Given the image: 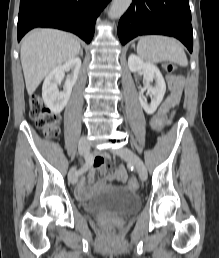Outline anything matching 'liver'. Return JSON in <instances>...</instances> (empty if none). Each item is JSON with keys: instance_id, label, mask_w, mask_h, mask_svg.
I'll return each mask as SVG.
<instances>
[{"instance_id": "6515ba94", "label": "liver", "mask_w": 219, "mask_h": 258, "mask_svg": "<svg viewBox=\"0 0 219 258\" xmlns=\"http://www.w3.org/2000/svg\"><path fill=\"white\" fill-rule=\"evenodd\" d=\"M80 43L68 33L35 29L22 40L21 64L26 89L31 96L42 80L56 67L77 56Z\"/></svg>"}]
</instances>
